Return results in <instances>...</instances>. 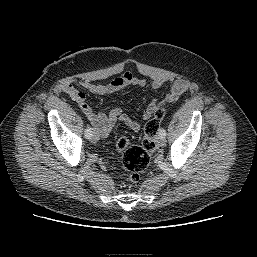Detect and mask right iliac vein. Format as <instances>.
<instances>
[{
  "label": "right iliac vein",
  "mask_w": 257,
  "mask_h": 257,
  "mask_svg": "<svg viewBox=\"0 0 257 257\" xmlns=\"http://www.w3.org/2000/svg\"><path fill=\"white\" fill-rule=\"evenodd\" d=\"M90 141L95 143V142L98 141V137L95 136V135H92V136L90 137Z\"/></svg>",
  "instance_id": "63e3f726"
}]
</instances>
